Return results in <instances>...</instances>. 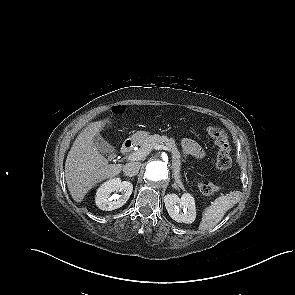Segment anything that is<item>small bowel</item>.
Wrapping results in <instances>:
<instances>
[{
    "label": "small bowel",
    "instance_id": "1",
    "mask_svg": "<svg viewBox=\"0 0 295 295\" xmlns=\"http://www.w3.org/2000/svg\"><path fill=\"white\" fill-rule=\"evenodd\" d=\"M181 148L184 156H192L197 159H200L204 156L203 149L192 139H183L181 142Z\"/></svg>",
    "mask_w": 295,
    "mask_h": 295
}]
</instances>
